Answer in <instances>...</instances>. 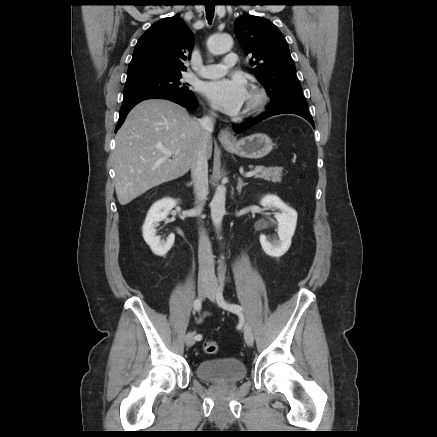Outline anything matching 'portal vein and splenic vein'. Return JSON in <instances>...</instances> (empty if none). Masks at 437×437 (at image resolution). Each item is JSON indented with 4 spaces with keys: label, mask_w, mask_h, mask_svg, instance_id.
<instances>
[{
    "label": "portal vein and splenic vein",
    "mask_w": 437,
    "mask_h": 437,
    "mask_svg": "<svg viewBox=\"0 0 437 437\" xmlns=\"http://www.w3.org/2000/svg\"><path fill=\"white\" fill-rule=\"evenodd\" d=\"M162 151H163V153H165L166 156H171V152H170V151H168V150H162ZM256 173H257L256 170H254V171H250V172H247V173L245 174V177H252V176H254Z\"/></svg>",
    "instance_id": "portal-vein-and-splenic-vein-1"
}]
</instances>
